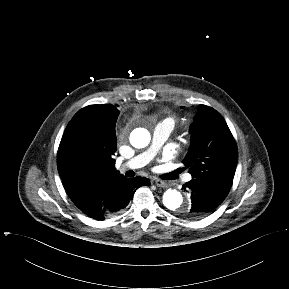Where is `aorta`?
<instances>
[{"label":"aorta","instance_id":"obj_1","mask_svg":"<svg viewBox=\"0 0 289 289\" xmlns=\"http://www.w3.org/2000/svg\"><path fill=\"white\" fill-rule=\"evenodd\" d=\"M130 142L135 148H144L150 142V133L144 128H138L130 137ZM163 204L172 211H187L190 208L189 203L183 202L181 193L175 189H168L163 195Z\"/></svg>","mask_w":289,"mask_h":289}]
</instances>
